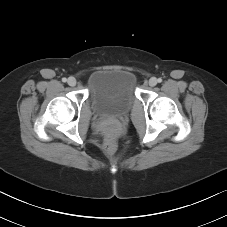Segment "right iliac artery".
Returning a JSON list of instances; mask_svg holds the SVG:
<instances>
[{
  "label": "right iliac artery",
  "instance_id": "1",
  "mask_svg": "<svg viewBox=\"0 0 227 227\" xmlns=\"http://www.w3.org/2000/svg\"><path fill=\"white\" fill-rule=\"evenodd\" d=\"M66 81H67V79H66V78H63V79H62V82H64V83H65Z\"/></svg>",
  "mask_w": 227,
  "mask_h": 227
}]
</instances>
